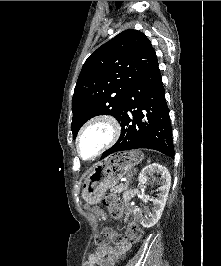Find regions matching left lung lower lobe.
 Segmentation results:
<instances>
[{
    "instance_id": "left-lung-lower-lobe-1",
    "label": "left lung lower lobe",
    "mask_w": 221,
    "mask_h": 266,
    "mask_svg": "<svg viewBox=\"0 0 221 266\" xmlns=\"http://www.w3.org/2000/svg\"><path fill=\"white\" fill-rule=\"evenodd\" d=\"M118 121L122 126L121 135L101 159L138 148L154 149L174 157L169 109L159 67L131 86Z\"/></svg>"
}]
</instances>
